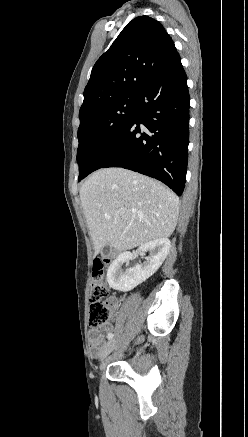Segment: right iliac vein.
I'll list each match as a JSON object with an SVG mask.
<instances>
[{
  "label": "right iliac vein",
  "instance_id": "1",
  "mask_svg": "<svg viewBox=\"0 0 248 437\" xmlns=\"http://www.w3.org/2000/svg\"><path fill=\"white\" fill-rule=\"evenodd\" d=\"M117 343V340L112 339L103 347L101 352V361H103V359L116 348Z\"/></svg>",
  "mask_w": 248,
  "mask_h": 437
}]
</instances>
